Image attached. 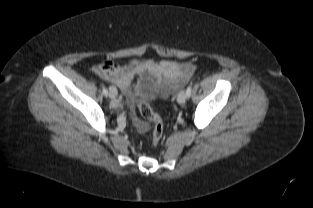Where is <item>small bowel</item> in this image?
Returning a JSON list of instances; mask_svg holds the SVG:
<instances>
[{
	"instance_id": "small-bowel-1",
	"label": "small bowel",
	"mask_w": 313,
	"mask_h": 208,
	"mask_svg": "<svg viewBox=\"0 0 313 208\" xmlns=\"http://www.w3.org/2000/svg\"><path fill=\"white\" fill-rule=\"evenodd\" d=\"M143 71L150 72L156 78H164L169 86L176 88L194 74L195 66L189 62L178 63L170 60L156 62L152 59H132L122 65L111 60H105L93 69L98 77L115 84L126 93L130 92L135 77ZM136 124L141 128L144 127V124L139 120H136Z\"/></svg>"
}]
</instances>
